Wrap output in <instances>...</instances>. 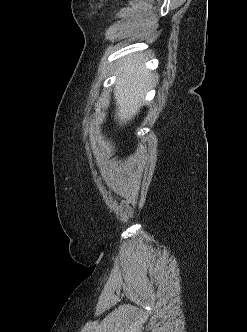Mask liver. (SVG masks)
I'll return each mask as SVG.
<instances>
[{
  "label": "liver",
  "mask_w": 247,
  "mask_h": 332,
  "mask_svg": "<svg viewBox=\"0 0 247 332\" xmlns=\"http://www.w3.org/2000/svg\"><path fill=\"white\" fill-rule=\"evenodd\" d=\"M142 64L139 55H130L122 60L119 69L121 76L114 91L117 106L115 117L120 124L131 120L139 112L146 88L152 82L153 74L143 69Z\"/></svg>",
  "instance_id": "obj_1"
}]
</instances>
